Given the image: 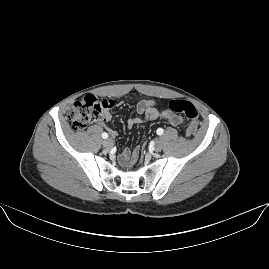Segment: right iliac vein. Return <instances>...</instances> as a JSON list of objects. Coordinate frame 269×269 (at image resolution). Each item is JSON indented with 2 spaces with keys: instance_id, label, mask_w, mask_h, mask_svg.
<instances>
[{
  "instance_id": "right-iliac-vein-1",
  "label": "right iliac vein",
  "mask_w": 269,
  "mask_h": 269,
  "mask_svg": "<svg viewBox=\"0 0 269 269\" xmlns=\"http://www.w3.org/2000/svg\"><path fill=\"white\" fill-rule=\"evenodd\" d=\"M113 146V141L111 138L103 141V147L106 149H110Z\"/></svg>"
}]
</instances>
